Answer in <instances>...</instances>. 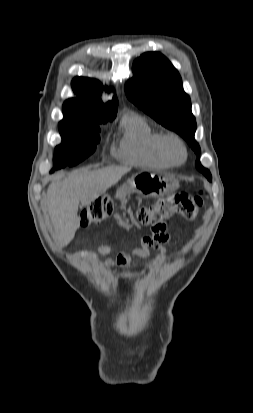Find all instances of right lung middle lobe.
<instances>
[{"mask_svg": "<svg viewBox=\"0 0 253 413\" xmlns=\"http://www.w3.org/2000/svg\"><path fill=\"white\" fill-rule=\"evenodd\" d=\"M115 116L104 119L62 120L59 130L62 143L55 148L54 164L56 169L74 166L91 155L99 142L98 123L111 121ZM53 172V170H52Z\"/></svg>", "mask_w": 253, "mask_h": 413, "instance_id": "obj_1", "label": "right lung middle lobe"}]
</instances>
